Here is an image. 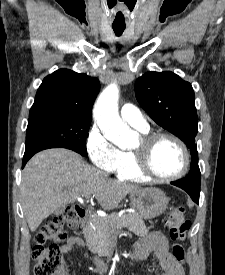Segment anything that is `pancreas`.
Masks as SVG:
<instances>
[{"label": "pancreas", "mask_w": 225, "mask_h": 275, "mask_svg": "<svg viewBox=\"0 0 225 275\" xmlns=\"http://www.w3.org/2000/svg\"><path fill=\"white\" fill-rule=\"evenodd\" d=\"M123 227H127L137 236H144L149 231L143 219L136 213L122 216L113 213L107 218L97 217L92 220L91 225L84 228L89 250L99 256H108L110 238L116 236Z\"/></svg>", "instance_id": "obj_1"}]
</instances>
